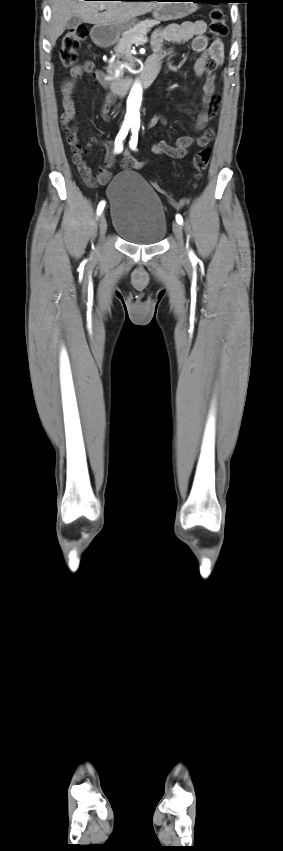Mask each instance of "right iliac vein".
I'll list each match as a JSON object with an SVG mask.
<instances>
[{"instance_id":"obj_1","label":"right iliac vein","mask_w":283,"mask_h":851,"mask_svg":"<svg viewBox=\"0 0 283 851\" xmlns=\"http://www.w3.org/2000/svg\"><path fill=\"white\" fill-rule=\"evenodd\" d=\"M99 229H100V235H101V237H103L106 234V231H107V221H106L104 213L100 217Z\"/></svg>"}]
</instances>
